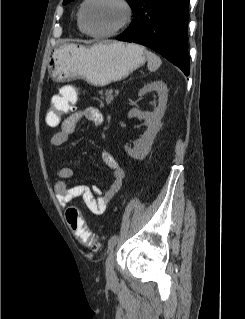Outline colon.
I'll list each match as a JSON object with an SVG mask.
<instances>
[{"instance_id":"obj_1","label":"colon","mask_w":245,"mask_h":319,"mask_svg":"<svg viewBox=\"0 0 245 319\" xmlns=\"http://www.w3.org/2000/svg\"><path fill=\"white\" fill-rule=\"evenodd\" d=\"M76 94L73 92L59 91L52 100V106L46 115V119L51 125L60 124L64 115H66L75 103ZM66 220L75 237L85 246L92 250L99 248L97 238L88 229L81 211L70 206L66 210Z\"/></svg>"}]
</instances>
